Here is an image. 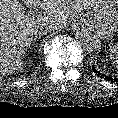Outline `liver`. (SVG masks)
I'll list each match as a JSON object with an SVG mask.
<instances>
[{"label":"liver","instance_id":"1","mask_svg":"<svg viewBox=\"0 0 118 118\" xmlns=\"http://www.w3.org/2000/svg\"><path fill=\"white\" fill-rule=\"evenodd\" d=\"M29 7L41 8L44 12L25 14L19 0H0V73L11 75L23 70L27 48L37 34L38 22L51 18L60 25L76 14L90 13L95 0H23Z\"/></svg>","mask_w":118,"mask_h":118}]
</instances>
